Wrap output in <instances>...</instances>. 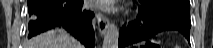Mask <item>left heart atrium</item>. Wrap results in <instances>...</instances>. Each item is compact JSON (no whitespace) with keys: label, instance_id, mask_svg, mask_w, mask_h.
I'll return each mask as SVG.
<instances>
[{"label":"left heart atrium","instance_id":"left-heart-atrium-1","mask_svg":"<svg viewBox=\"0 0 213 48\" xmlns=\"http://www.w3.org/2000/svg\"><path fill=\"white\" fill-rule=\"evenodd\" d=\"M93 5L96 8H99L107 12H112L117 9L116 1L114 0H96V1H93Z\"/></svg>","mask_w":213,"mask_h":48}]
</instances>
